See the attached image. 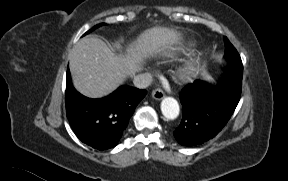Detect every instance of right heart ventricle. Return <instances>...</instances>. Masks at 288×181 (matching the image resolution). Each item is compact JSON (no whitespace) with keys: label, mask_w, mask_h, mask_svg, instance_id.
Masks as SVG:
<instances>
[{"label":"right heart ventricle","mask_w":288,"mask_h":181,"mask_svg":"<svg viewBox=\"0 0 288 181\" xmlns=\"http://www.w3.org/2000/svg\"><path fill=\"white\" fill-rule=\"evenodd\" d=\"M188 46H192V44H191V43H189V44H188ZM169 54H172V52H169Z\"/></svg>","instance_id":"obj_1"}]
</instances>
